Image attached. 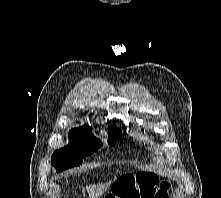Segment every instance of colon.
I'll list each match as a JSON object with an SVG mask.
<instances>
[{"instance_id": "colon-1", "label": "colon", "mask_w": 221, "mask_h": 198, "mask_svg": "<svg viewBox=\"0 0 221 198\" xmlns=\"http://www.w3.org/2000/svg\"><path fill=\"white\" fill-rule=\"evenodd\" d=\"M168 192V183H159L151 174L139 173L119 178L105 198H168Z\"/></svg>"}]
</instances>
